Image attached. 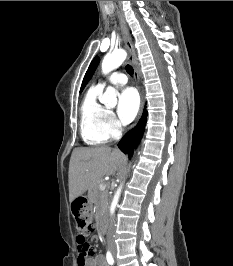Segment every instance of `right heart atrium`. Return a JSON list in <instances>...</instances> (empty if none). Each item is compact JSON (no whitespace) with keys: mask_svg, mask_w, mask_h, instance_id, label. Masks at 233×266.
Listing matches in <instances>:
<instances>
[{"mask_svg":"<svg viewBox=\"0 0 233 266\" xmlns=\"http://www.w3.org/2000/svg\"><path fill=\"white\" fill-rule=\"evenodd\" d=\"M104 129L107 136L110 138L118 136L121 132V124L112 111H107L104 122Z\"/></svg>","mask_w":233,"mask_h":266,"instance_id":"right-heart-atrium-1","label":"right heart atrium"}]
</instances>
